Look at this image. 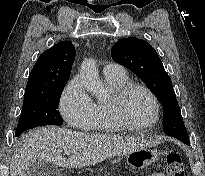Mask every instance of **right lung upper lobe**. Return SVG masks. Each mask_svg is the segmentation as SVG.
I'll return each instance as SVG.
<instances>
[{
    "mask_svg": "<svg viewBox=\"0 0 205 176\" xmlns=\"http://www.w3.org/2000/svg\"><path fill=\"white\" fill-rule=\"evenodd\" d=\"M74 59L75 48L70 41H61L44 51L29 75L25 96L43 93L66 84Z\"/></svg>",
    "mask_w": 205,
    "mask_h": 176,
    "instance_id": "right-lung-upper-lobe-1",
    "label": "right lung upper lobe"
}]
</instances>
